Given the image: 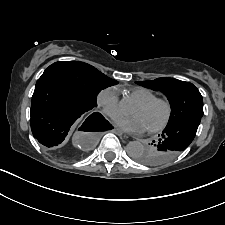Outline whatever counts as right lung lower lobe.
<instances>
[{
  "mask_svg": "<svg viewBox=\"0 0 225 225\" xmlns=\"http://www.w3.org/2000/svg\"><path fill=\"white\" fill-rule=\"evenodd\" d=\"M89 105L76 91L52 77H40L36 83L31 103V130L33 136L46 148L60 146L74 122L83 113H92ZM88 118L94 122L91 131L111 129L99 113ZM87 118V119H88Z\"/></svg>",
  "mask_w": 225,
  "mask_h": 225,
  "instance_id": "1",
  "label": "right lung lower lobe"
}]
</instances>
